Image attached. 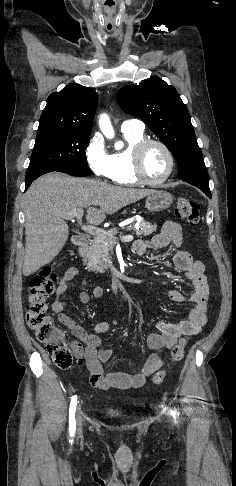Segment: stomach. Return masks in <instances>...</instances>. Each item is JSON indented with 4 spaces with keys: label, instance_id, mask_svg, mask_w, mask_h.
<instances>
[{
    "label": "stomach",
    "instance_id": "1",
    "mask_svg": "<svg viewBox=\"0 0 236 486\" xmlns=\"http://www.w3.org/2000/svg\"><path fill=\"white\" fill-rule=\"evenodd\" d=\"M172 202L173 196L169 192L163 190H154L152 193L147 195L145 207L150 212H160L170 207Z\"/></svg>",
    "mask_w": 236,
    "mask_h": 486
}]
</instances>
